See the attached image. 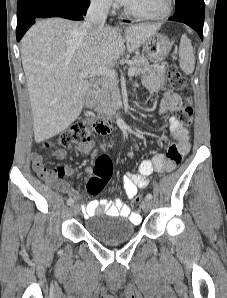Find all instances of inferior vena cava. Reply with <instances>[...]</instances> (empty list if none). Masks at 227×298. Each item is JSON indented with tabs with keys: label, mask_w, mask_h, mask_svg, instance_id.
Masks as SVG:
<instances>
[{
	"label": "inferior vena cava",
	"mask_w": 227,
	"mask_h": 298,
	"mask_svg": "<svg viewBox=\"0 0 227 298\" xmlns=\"http://www.w3.org/2000/svg\"><path fill=\"white\" fill-rule=\"evenodd\" d=\"M109 9V0H91L85 21L81 27L82 31L85 33H95L101 30L104 27Z\"/></svg>",
	"instance_id": "602c4592"
}]
</instances>
